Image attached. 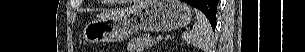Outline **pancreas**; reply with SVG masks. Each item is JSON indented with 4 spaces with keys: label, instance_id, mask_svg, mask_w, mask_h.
<instances>
[{
    "label": "pancreas",
    "instance_id": "cf45deb5",
    "mask_svg": "<svg viewBox=\"0 0 305 52\" xmlns=\"http://www.w3.org/2000/svg\"><path fill=\"white\" fill-rule=\"evenodd\" d=\"M154 38L150 34H143L128 43L127 50L129 52H142L145 48L151 47L155 44Z\"/></svg>",
    "mask_w": 305,
    "mask_h": 52
}]
</instances>
